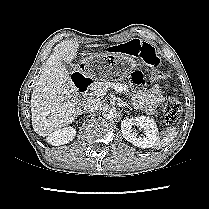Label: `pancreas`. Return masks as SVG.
<instances>
[{"label": "pancreas", "instance_id": "cf45deb5", "mask_svg": "<svg viewBox=\"0 0 209 209\" xmlns=\"http://www.w3.org/2000/svg\"><path fill=\"white\" fill-rule=\"evenodd\" d=\"M108 83H113V82H108V81L95 82V83L93 84V86H92V89H93V90H96V89L99 88V87L106 86ZM114 84H117V85H119V86H122V87H123V90H124L126 93L129 92V88H128V86H127L126 84H124V83H119V82L114 83Z\"/></svg>", "mask_w": 209, "mask_h": 209}]
</instances>
